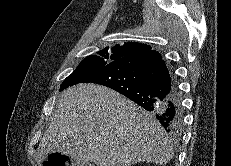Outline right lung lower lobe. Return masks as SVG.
Instances as JSON below:
<instances>
[{"label":"right lung lower lobe","mask_w":231,"mask_h":166,"mask_svg":"<svg viewBox=\"0 0 231 166\" xmlns=\"http://www.w3.org/2000/svg\"><path fill=\"white\" fill-rule=\"evenodd\" d=\"M107 86L154 112L171 135L183 127L181 95L177 82L159 52L117 59L82 81Z\"/></svg>","instance_id":"1"}]
</instances>
